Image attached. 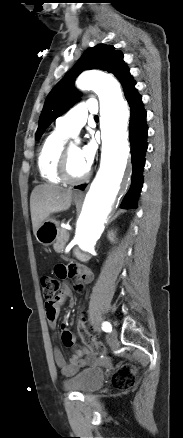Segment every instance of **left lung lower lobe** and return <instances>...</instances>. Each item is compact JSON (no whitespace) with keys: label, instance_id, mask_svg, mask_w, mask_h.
Segmentation results:
<instances>
[{"label":"left lung lower lobe","instance_id":"left-lung-lower-lobe-1","mask_svg":"<svg viewBox=\"0 0 183 438\" xmlns=\"http://www.w3.org/2000/svg\"><path fill=\"white\" fill-rule=\"evenodd\" d=\"M135 81L131 79L124 87L125 97L129 103L131 116L129 123V139L132 158V182L129 191L125 195L121 208H136V201L143 184V168L145 165V152L147 150V125L146 111L144 110L141 96L135 88ZM75 188L83 190L85 184Z\"/></svg>","mask_w":183,"mask_h":438}]
</instances>
